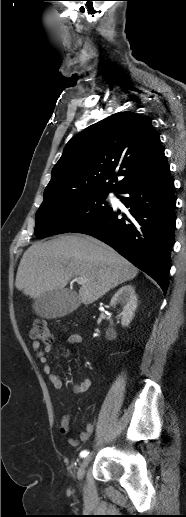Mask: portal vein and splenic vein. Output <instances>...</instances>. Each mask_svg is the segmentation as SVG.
Masks as SVG:
<instances>
[{
  "instance_id": "portal-vein-and-splenic-vein-1",
  "label": "portal vein and splenic vein",
  "mask_w": 186,
  "mask_h": 517,
  "mask_svg": "<svg viewBox=\"0 0 186 517\" xmlns=\"http://www.w3.org/2000/svg\"><path fill=\"white\" fill-rule=\"evenodd\" d=\"M75 281L78 283V284H85L87 282V279L84 278V277H76L75 278Z\"/></svg>"
}]
</instances>
